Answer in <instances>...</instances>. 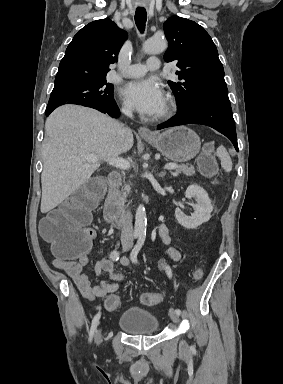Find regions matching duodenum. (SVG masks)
Returning a JSON list of instances; mask_svg holds the SVG:
<instances>
[{"label": "duodenum", "mask_w": 283, "mask_h": 384, "mask_svg": "<svg viewBox=\"0 0 283 384\" xmlns=\"http://www.w3.org/2000/svg\"><path fill=\"white\" fill-rule=\"evenodd\" d=\"M108 181L111 189L103 208L104 219L116 228H124L127 225L128 215L117 202V189L121 183V176L118 172H112L108 176Z\"/></svg>", "instance_id": "duodenum-1"}]
</instances>
